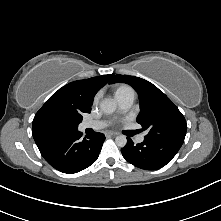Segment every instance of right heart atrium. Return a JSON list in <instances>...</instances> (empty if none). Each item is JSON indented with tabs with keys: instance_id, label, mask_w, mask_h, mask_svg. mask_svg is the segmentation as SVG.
I'll use <instances>...</instances> for the list:
<instances>
[{
	"instance_id": "1",
	"label": "right heart atrium",
	"mask_w": 221,
	"mask_h": 221,
	"mask_svg": "<svg viewBox=\"0 0 221 221\" xmlns=\"http://www.w3.org/2000/svg\"><path fill=\"white\" fill-rule=\"evenodd\" d=\"M98 100V95L95 96L94 101L96 102Z\"/></svg>"
}]
</instances>
